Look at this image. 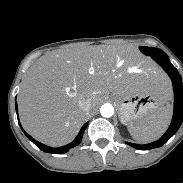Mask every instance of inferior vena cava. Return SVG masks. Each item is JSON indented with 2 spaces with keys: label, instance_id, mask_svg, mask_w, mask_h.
<instances>
[{
  "label": "inferior vena cava",
  "instance_id": "1",
  "mask_svg": "<svg viewBox=\"0 0 183 183\" xmlns=\"http://www.w3.org/2000/svg\"><path fill=\"white\" fill-rule=\"evenodd\" d=\"M79 106H80V108H81L83 111L87 112V111H89V110L91 109V107H92V101H91L90 98H80V99H79Z\"/></svg>",
  "mask_w": 183,
  "mask_h": 183
}]
</instances>
